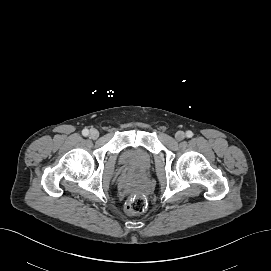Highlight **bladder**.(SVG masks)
Here are the masks:
<instances>
[{
  "instance_id": "1",
  "label": "bladder",
  "mask_w": 271,
  "mask_h": 271,
  "mask_svg": "<svg viewBox=\"0 0 271 271\" xmlns=\"http://www.w3.org/2000/svg\"><path fill=\"white\" fill-rule=\"evenodd\" d=\"M119 160L132 174L144 175L151 167L153 157L145 148L127 147L121 151Z\"/></svg>"
}]
</instances>
